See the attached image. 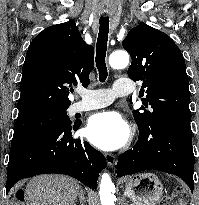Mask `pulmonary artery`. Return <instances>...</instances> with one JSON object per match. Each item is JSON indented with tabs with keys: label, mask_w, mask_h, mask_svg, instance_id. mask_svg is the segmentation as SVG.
<instances>
[{
	"label": "pulmonary artery",
	"mask_w": 199,
	"mask_h": 205,
	"mask_svg": "<svg viewBox=\"0 0 199 205\" xmlns=\"http://www.w3.org/2000/svg\"><path fill=\"white\" fill-rule=\"evenodd\" d=\"M133 86L126 79H117L111 89L82 90L79 92L82 100L70 107L71 113H79L105 107L118 96H125L132 92Z\"/></svg>",
	"instance_id": "e3ab8cb5"
}]
</instances>
